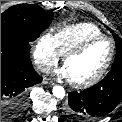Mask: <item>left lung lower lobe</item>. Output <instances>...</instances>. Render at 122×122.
<instances>
[{"label": "left lung lower lobe", "mask_w": 122, "mask_h": 122, "mask_svg": "<svg viewBox=\"0 0 122 122\" xmlns=\"http://www.w3.org/2000/svg\"><path fill=\"white\" fill-rule=\"evenodd\" d=\"M122 99V66L112 68L96 85L82 92L68 93L65 111L81 119H96L110 113Z\"/></svg>", "instance_id": "left-lung-lower-lobe-1"}]
</instances>
